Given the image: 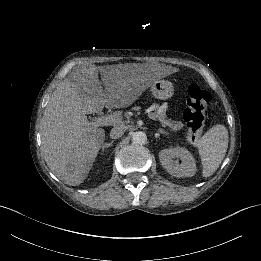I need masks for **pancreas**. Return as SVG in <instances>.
<instances>
[{
  "label": "pancreas",
  "mask_w": 261,
  "mask_h": 261,
  "mask_svg": "<svg viewBox=\"0 0 261 261\" xmlns=\"http://www.w3.org/2000/svg\"><path fill=\"white\" fill-rule=\"evenodd\" d=\"M156 111L153 112L155 118L153 120H159L163 127H169L173 131H177L183 128L184 124L181 121H174L167 118L166 106H159L158 104H153Z\"/></svg>",
  "instance_id": "pancreas-1"
}]
</instances>
